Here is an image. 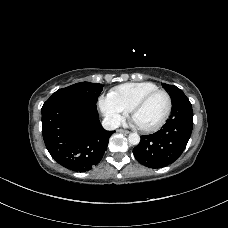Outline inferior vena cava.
<instances>
[{
    "label": "inferior vena cava",
    "instance_id": "1",
    "mask_svg": "<svg viewBox=\"0 0 228 228\" xmlns=\"http://www.w3.org/2000/svg\"><path fill=\"white\" fill-rule=\"evenodd\" d=\"M102 126L105 130H115L120 126V123L113 118H104L102 121Z\"/></svg>",
    "mask_w": 228,
    "mask_h": 228
}]
</instances>
